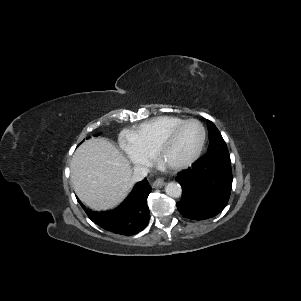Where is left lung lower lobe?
<instances>
[{
	"instance_id": "0a47b994",
	"label": "left lung lower lobe",
	"mask_w": 301,
	"mask_h": 301,
	"mask_svg": "<svg viewBox=\"0 0 301 301\" xmlns=\"http://www.w3.org/2000/svg\"><path fill=\"white\" fill-rule=\"evenodd\" d=\"M182 198L177 202L179 212L191 220L216 216L227 205L232 188L230 157H201L178 173Z\"/></svg>"
}]
</instances>
